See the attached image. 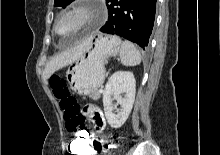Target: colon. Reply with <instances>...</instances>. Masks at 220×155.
<instances>
[{
  "instance_id": "colon-1",
  "label": "colon",
  "mask_w": 220,
  "mask_h": 155,
  "mask_svg": "<svg viewBox=\"0 0 220 155\" xmlns=\"http://www.w3.org/2000/svg\"><path fill=\"white\" fill-rule=\"evenodd\" d=\"M50 87L63 111L66 129L75 133L67 146L69 155H90L93 136L91 125L85 123V113L81 111L61 75L54 74L50 77ZM93 149L96 153H107V149H116V144H105L102 138L96 137Z\"/></svg>"
}]
</instances>
